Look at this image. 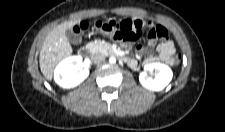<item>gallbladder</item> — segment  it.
<instances>
[{"label": "gallbladder", "mask_w": 225, "mask_h": 132, "mask_svg": "<svg viewBox=\"0 0 225 132\" xmlns=\"http://www.w3.org/2000/svg\"><path fill=\"white\" fill-rule=\"evenodd\" d=\"M66 36L72 44H79L82 41L81 34L75 32L73 29L67 30Z\"/></svg>", "instance_id": "1"}]
</instances>
